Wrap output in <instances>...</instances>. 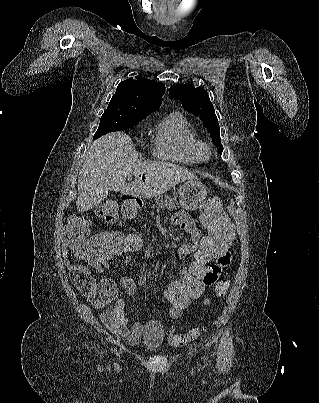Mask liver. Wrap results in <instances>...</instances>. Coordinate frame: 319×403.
Here are the masks:
<instances>
[{
	"label": "liver",
	"mask_w": 319,
	"mask_h": 403,
	"mask_svg": "<svg viewBox=\"0 0 319 403\" xmlns=\"http://www.w3.org/2000/svg\"><path fill=\"white\" fill-rule=\"evenodd\" d=\"M127 176L135 180L126 184ZM190 179L197 177L179 165L139 160L131 138L123 132H112L94 141L87 151L78 176L76 206L79 212L88 211L104 201L109 190L152 198Z\"/></svg>",
	"instance_id": "liver-1"
}]
</instances>
